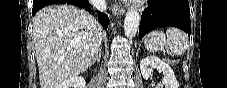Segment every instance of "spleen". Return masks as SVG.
Instances as JSON below:
<instances>
[{"label": "spleen", "mask_w": 227, "mask_h": 88, "mask_svg": "<svg viewBox=\"0 0 227 88\" xmlns=\"http://www.w3.org/2000/svg\"><path fill=\"white\" fill-rule=\"evenodd\" d=\"M144 45L149 52L154 53L165 48L168 54L182 55L188 49L189 39L183 31L169 28L165 33L158 30L150 32Z\"/></svg>", "instance_id": "3e777b00"}]
</instances>
